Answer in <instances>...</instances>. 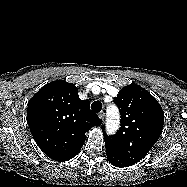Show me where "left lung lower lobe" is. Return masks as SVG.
<instances>
[{"instance_id": "left-lung-lower-lobe-1", "label": "left lung lower lobe", "mask_w": 187, "mask_h": 187, "mask_svg": "<svg viewBox=\"0 0 187 187\" xmlns=\"http://www.w3.org/2000/svg\"><path fill=\"white\" fill-rule=\"evenodd\" d=\"M106 154H107L108 161L113 166L122 168V167H128V166L135 164V162L120 156L119 154L115 153L112 150H109L108 148H106Z\"/></svg>"}]
</instances>
